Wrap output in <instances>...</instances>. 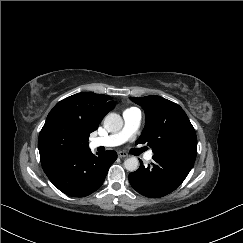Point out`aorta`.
Returning <instances> with one entry per match:
<instances>
[{
  "instance_id": "obj_1",
  "label": "aorta",
  "mask_w": 243,
  "mask_h": 243,
  "mask_svg": "<svg viewBox=\"0 0 243 243\" xmlns=\"http://www.w3.org/2000/svg\"><path fill=\"white\" fill-rule=\"evenodd\" d=\"M123 127V120L117 113H109L104 119V128L108 132H118ZM124 167L130 172L139 168V160L136 157H130L124 161Z\"/></svg>"
}]
</instances>
